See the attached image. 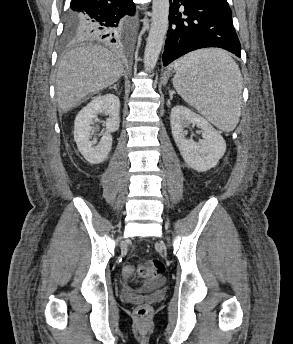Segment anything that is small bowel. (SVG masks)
<instances>
[{
	"instance_id": "small-bowel-1",
	"label": "small bowel",
	"mask_w": 293,
	"mask_h": 344,
	"mask_svg": "<svg viewBox=\"0 0 293 344\" xmlns=\"http://www.w3.org/2000/svg\"><path fill=\"white\" fill-rule=\"evenodd\" d=\"M126 279H129L128 277L125 276ZM121 296L126 299V300H133L135 299L136 295L135 293L128 287H125L122 291H121Z\"/></svg>"
}]
</instances>
